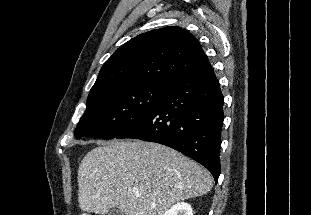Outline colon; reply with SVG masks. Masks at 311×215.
I'll list each match as a JSON object with an SVG mask.
<instances>
[{
    "mask_svg": "<svg viewBox=\"0 0 311 215\" xmlns=\"http://www.w3.org/2000/svg\"><path fill=\"white\" fill-rule=\"evenodd\" d=\"M80 215H90V214H89V213H85V212H84V213H82V214H80Z\"/></svg>",
    "mask_w": 311,
    "mask_h": 215,
    "instance_id": "1",
    "label": "colon"
}]
</instances>
